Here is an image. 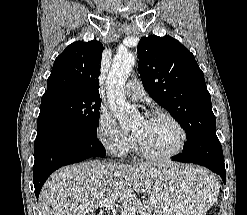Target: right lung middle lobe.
<instances>
[{"mask_svg":"<svg viewBox=\"0 0 247 215\" xmlns=\"http://www.w3.org/2000/svg\"><path fill=\"white\" fill-rule=\"evenodd\" d=\"M100 96H90L63 88L46 91L41 99L38 124L59 122L97 135Z\"/></svg>","mask_w":247,"mask_h":215,"instance_id":"dd1d6c3e","label":"right lung middle lobe"}]
</instances>
